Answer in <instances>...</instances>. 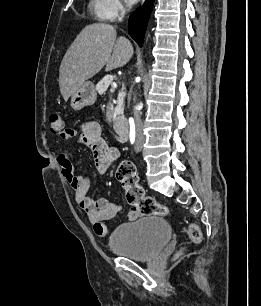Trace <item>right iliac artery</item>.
I'll return each mask as SVG.
<instances>
[{"mask_svg": "<svg viewBox=\"0 0 261 306\" xmlns=\"http://www.w3.org/2000/svg\"><path fill=\"white\" fill-rule=\"evenodd\" d=\"M130 141H131V144L135 142V130H132L130 132Z\"/></svg>", "mask_w": 261, "mask_h": 306, "instance_id": "82829eb1", "label": "right iliac artery"}]
</instances>
